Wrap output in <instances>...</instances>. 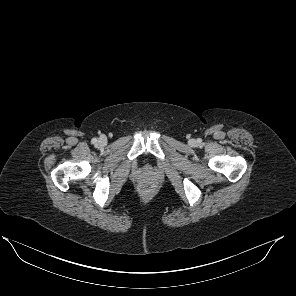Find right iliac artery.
Returning a JSON list of instances; mask_svg holds the SVG:
<instances>
[{"label":"right iliac artery","instance_id":"obj_1","mask_svg":"<svg viewBox=\"0 0 296 296\" xmlns=\"http://www.w3.org/2000/svg\"><path fill=\"white\" fill-rule=\"evenodd\" d=\"M96 142H97V139L96 138H93L92 139V143L95 144Z\"/></svg>","mask_w":296,"mask_h":296}]
</instances>
